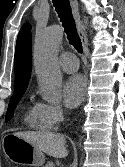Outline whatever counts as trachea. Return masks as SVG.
Here are the masks:
<instances>
[{
  "mask_svg": "<svg viewBox=\"0 0 125 167\" xmlns=\"http://www.w3.org/2000/svg\"><path fill=\"white\" fill-rule=\"evenodd\" d=\"M52 2L62 22V26L65 29L69 43L73 45L79 53H82V43L72 16L69 0H52Z\"/></svg>",
  "mask_w": 125,
  "mask_h": 167,
  "instance_id": "trachea-1",
  "label": "trachea"
}]
</instances>
